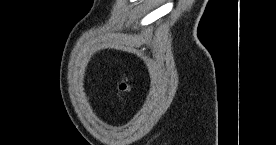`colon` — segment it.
I'll return each instance as SVG.
<instances>
[{"mask_svg":"<svg viewBox=\"0 0 276 145\" xmlns=\"http://www.w3.org/2000/svg\"><path fill=\"white\" fill-rule=\"evenodd\" d=\"M119 90V102L124 103L131 92V83L128 78H124L118 87Z\"/></svg>","mask_w":276,"mask_h":145,"instance_id":"5ec220e1","label":"colon"}]
</instances>
